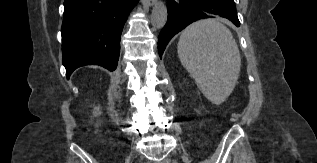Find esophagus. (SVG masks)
<instances>
[{"instance_id":"1","label":"esophagus","mask_w":317,"mask_h":163,"mask_svg":"<svg viewBox=\"0 0 317 163\" xmlns=\"http://www.w3.org/2000/svg\"><path fill=\"white\" fill-rule=\"evenodd\" d=\"M148 6H153L156 0H144Z\"/></svg>"}]
</instances>
